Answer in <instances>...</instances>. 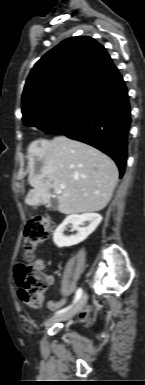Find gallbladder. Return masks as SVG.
I'll return each instance as SVG.
<instances>
[{
	"label": "gallbladder",
	"instance_id": "gallbladder-1",
	"mask_svg": "<svg viewBox=\"0 0 145 385\" xmlns=\"http://www.w3.org/2000/svg\"><path fill=\"white\" fill-rule=\"evenodd\" d=\"M48 208L56 210L58 208V200L57 198H52L47 205Z\"/></svg>",
	"mask_w": 145,
	"mask_h": 385
}]
</instances>
